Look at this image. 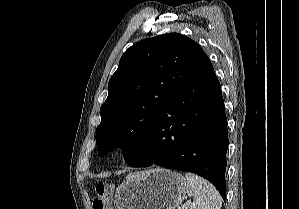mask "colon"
I'll return each instance as SVG.
<instances>
[{
	"label": "colon",
	"mask_w": 299,
	"mask_h": 209,
	"mask_svg": "<svg viewBox=\"0 0 299 209\" xmlns=\"http://www.w3.org/2000/svg\"><path fill=\"white\" fill-rule=\"evenodd\" d=\"M113 186L108 183H99L93 190V208L94 209H112L111 195Z\"/></svg>",
	"instance_id": "5ec220e1"
}]
</instances>
